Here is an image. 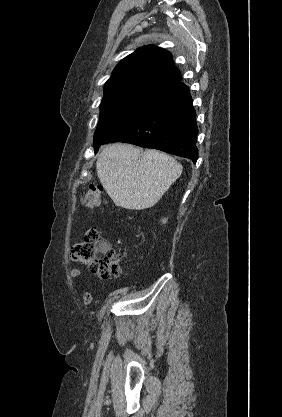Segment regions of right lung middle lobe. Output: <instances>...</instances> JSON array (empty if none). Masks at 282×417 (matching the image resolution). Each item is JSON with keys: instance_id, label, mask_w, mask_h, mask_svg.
Here are the masks:
<instances>
[{"instance_id": "1", "label": "right lung middle lobe", "mask_w": 282, "mask_h": 417, "mask_svg": "<svg viewBox=\"0 0 282 417\" xmlns=\"http://www.w3.org/2000/svg\"><path fill=\"white\" fill-rule=\"evenodd\" d=\"M158 95L136 90L104 94L100 121L94 134V149L97 150L109 135L128 123Z\"/></svg>"}]
</instances>
